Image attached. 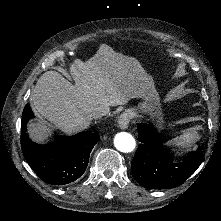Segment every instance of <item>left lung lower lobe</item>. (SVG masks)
Here are the masks:
<instances>
[{"instance_id":"0a47b994","label":"left lung lower lobe","mask_w":221,"mask_h":221,"mask_svg":"<svg viewBox=\"0 0 221 221\" xmlns=\"http://www.w3.org/2000/svg\"><path fill=\"white\" fill-rule=\"evenodd\" d=\"M141 144L132 160L134 178L145 188L170 189L181 185L202 163L200 148L182 162H173V153L163 146L152 124H137Z\"/></svg>"}]
</instances>
